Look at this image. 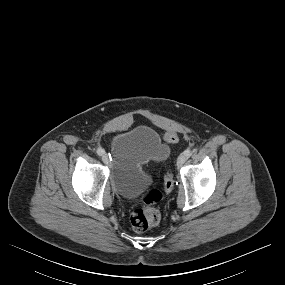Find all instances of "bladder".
Listing matches in <instances>:
<instances>
[{
    "label": "bladder",
    "instance_id": "1",
    "mask_svg": "<svg viewBox=\"0 0 285 285\" xmlns=\"http://www.w3.org/2000/svg\"><path fill=\"white\" fill-rule=\"evenodd\" d=\"M168 147L152 127L136 126L115 134L110 143L111 183L117 194L135 198L150 184L144 165L165 157Z\"/></svg>",
    "mask_w": 285,
    "mask_h": 285
}]
</instances>
